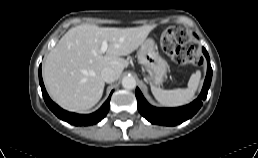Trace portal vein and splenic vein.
<instances>
[{"instance_id":"portal-vein-and-splenic-vein-1","label":"portal vein and splenic vein","mask_w":258,"mask_h":158,"mask_svg":"<svg viewBox=\"0 0 258 158\" xmlns=\"http://www.w3.org/2000/svg\"><path fill=\"white\" fill-rule=\"evenodd\" d=\"M107 48H108V43L106 41H103L100 48L101 53L104 54L107 51Z\"/></svg>"}]
</instances>
